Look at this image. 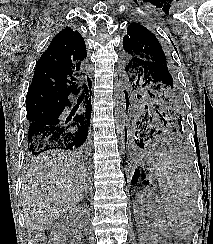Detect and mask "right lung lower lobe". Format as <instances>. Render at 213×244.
<instances>
[{
	"instance_id": "right-lung-lower-lobe-1",
	"label": "right lung lower lobe",
	"mask_w": 213,
	"mask_h": 244,
	"mask_svg": "<svg viewBox=\"0 0 213 244\" xmlns=\"http://www.w3.org/2000/svg\"><path fill=\"white\" fill-rule=\"evenodd\" d=\"M79 91L80 88L73 94H78ZM85 91L87 94L89 90ZM88 97L89 94L86 95L85 112L82 114L68 116L64 114L65 108L71 107L67 96L47 105L36 118L30 121L27 131L29 154L37 155L52 149L72 150L79 147L88 149L91 117V99Z\"/></svg>"
}]
</instances>
